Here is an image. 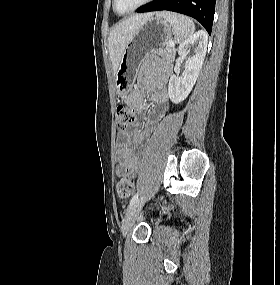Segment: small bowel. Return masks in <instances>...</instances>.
<instances>
[{"label":"small bowel","instance_id":"obj_1","mask_svg":"<svg viewBox=\"0 0 280 285\" xmlns=\"http://www.w3.org/2000/svg\"><path fill=\"white\" fill-rule=\"evenodd\" d=\"M144 77L140 87L129 94L125 99L128 106L136 111H141L147 104L146 97L156 104L162 105L163 115L167 110L168 103V82L171 76L169 67L165 66L161 71L156 72L152 66L143 69ZM155 127V121H148L145 124L144 132L137 135L135 132H123L119 134L117 142L119 149L117 152L116 172L119 175H128L135 178L139 172V158L134 154L132 144L143 141L145 136L150 134Z\"/></svg>","mask_w":280,"mask_h":285}]
</instances>
